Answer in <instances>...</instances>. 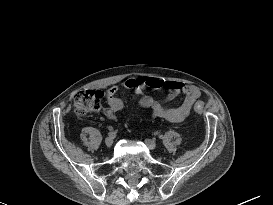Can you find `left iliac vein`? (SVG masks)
Here are the masks:
<instances>
[{
    "label": "left iliac vein",
    "mask_w": 273,
    "mask_h": 205,
    "mask_svg": "<svg viewBox=\"0 0 273 205\" xmlns=\"http://www.w3.org/2000/svg\"><path fill=\"white\" fill-rule=\"evenodd\" d=\"M145 144L146 146L151 149V150H154L156 149L157 145L155 143V141L151 140V139H145Z\"/></svg>",
    "instance_id": "4c4485c4"
}]
</instances>
